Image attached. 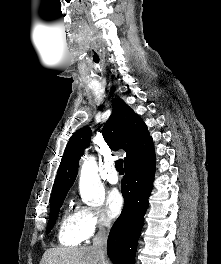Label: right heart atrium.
Segmentation results:
<instances>
[{"label":"right heart atrium","mask_w":221,"mask_h":264,"mask_svg":"<svg viewBox=\"0 0 221 264\" xmlns=\"http://www.w3.org/2000/svg\"><path fill=\"white\" fill-rule=\"evenodd\" d=\"M75 213L85 239L92 237L96 232H104L111 225L109 218L99 207L79 205Z\"/></svg>","instance_id":"obj_1"}]
</instances>
